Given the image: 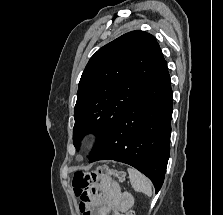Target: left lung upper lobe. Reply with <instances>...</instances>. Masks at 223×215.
I'll list each match as a JSON object with an SVG mask.
<instances>
[{"instance_id": "1", "label": "left lung upper lobe", "mask_w": 223, "mask_h": 215, "mask_svg": "<svg viewBox=\"0 0 223 215\" xmlns=\"http://www.w3.org/2000/svg\"><path fill=\"white\" fill-rule=\"evenodd\" d=\"M164 62L154 36L140 30L100 48L90 58L79 82L73 128L76 149L85 134L96 133L91 158Z\"/></svg>"}]
</instances>
